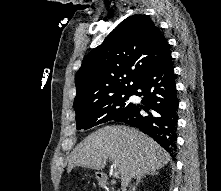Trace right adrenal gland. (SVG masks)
<instances>
[{
    "label": "right adrenal gland",
    "instance_id": "obj_1",
    "mask_svg": "<svg viewBox=\"0 0 221 191\" xmlns=\"http://www.w3.org/2000/svg\"><path fill=\"white\" fill-rule=\"evenodd\" d=\"M157 174H158V172L152 171V172L146 173V174L140 176L139 178H137L136 183L134 184V186L132 188V191H136V188H137L138 184L141 182V179L146 177V175H153L154 176V175H157Z\"/></svg>",
    "mask_w": 221,
    "mask_h": 191
}]
</instances>
